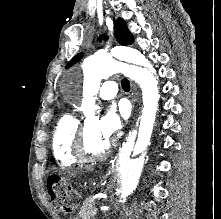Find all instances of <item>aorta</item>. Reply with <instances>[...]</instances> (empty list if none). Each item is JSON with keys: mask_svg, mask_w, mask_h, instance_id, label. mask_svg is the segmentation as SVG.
<instances>
[{"mask_svg": "<svg viewBox=\"0 0 221 219\" xmlns=\"http://www.w3.org/2000/svg\"><path fill=\"white\" fill-rule=\"evenodd\" d=\"M123 61L143 66L155 73L151 63L139 51L129 47L114 49L109 54H95L88 57L84 60L83 71L90 79L91 85L87 88L81 105L86 117L94 115L96 109L94 95L99 90L101 79H107L114 74L121 67V62ZM152 87L156 89L155 82H152ZM150 129L151 125H149ZM147 142L148 137L146 136L144 141L134 150L132 145L127 146L119 155L114 168L113 184L119 203H125L139 183L147 154Z\"/></svg>", "mask_w": 221, "mask_h": 219, "instance_id": "1", "label": "aorta"}]
</instances>
